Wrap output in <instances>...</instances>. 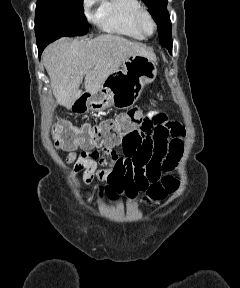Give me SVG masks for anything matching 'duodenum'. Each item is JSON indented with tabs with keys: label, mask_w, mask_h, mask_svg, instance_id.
Here are the masks:
<instances>
[{
	"label": "duodenum",
	"mask_w": 240,
	"mask_h": 288,
	"mask_svg": "<svg viewBox=\"0 0 240 288\" xmlns=\"http://www.w3.org/2000/svg\"><path fill=\"white\" fill-rule=\"evenodd\" d=\"M87 100H88V97H87V96H83L80 101L84 103V102H86Z\"/></svg>",
	"instance_id": "410a0bca"
}]
</instances>
